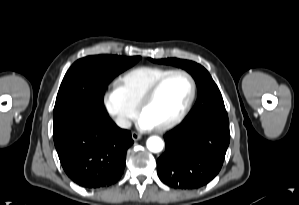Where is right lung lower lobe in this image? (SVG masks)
Segmentation results:
<instances>
[{
  "instance_id": "right-lung-lower-lobe-1",
  "label": "right lung lower lobe",
  "mask_w": 299,
  "mask_h": 205,
  "mask_svg": "<svg viewBox=\"0 0 299 205\" xmlns=\"http://www.w3.org/2000/svg\"><path fill=\"white\" fill-rule=\"evenodd\" d=\"M55 147L66 174L85 188L108 187L120 179L131 133L107 113L81 110L54 126Z\"/></svg>"
}]
</instances>
